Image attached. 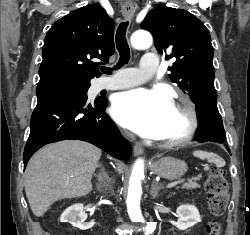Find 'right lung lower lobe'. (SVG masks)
<instances>
[{"instance_id":"98d812e1","label":"right lung lower lobe","mask_w":250,"mask_h":235,"mask_svg":"<svg viewBox=\"0 0 250 235\" xmlns=\"http://www.w3.org/2000/svg\"><path fill=\"white\" fill-rule=\"evenodd\" d=\"M89 87L81 85L37 94L23 155L24 166L44 145L68 139L92 143L120 160L129 158V143L104 112L107 100L90 102Z\"/></svg>"}]
</instances>
